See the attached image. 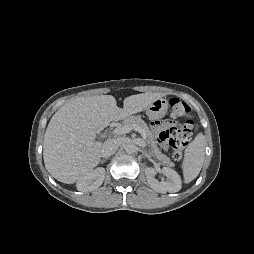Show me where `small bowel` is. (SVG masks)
Returning a JSON list of instances; mask_svg holds the SVG:
<instances>
[{"label":"small bowel","instance_id":"1","mask_svg":"<svg viewBox=\"0 0 254 254\" xmlns=\"http://www.w3.org/2000/svg\"><path fill=\"white\" fill-rule=\"evenodd\" d=\"M168 125H169V121H164V122H162V123L156 125V126H155V130H156V132L159 134V132H160L161 130H163L164 128H166Z\"/></svg>","mask_w":254,"mask_h":254}]
</instances>
